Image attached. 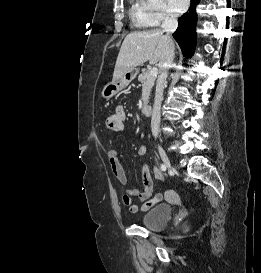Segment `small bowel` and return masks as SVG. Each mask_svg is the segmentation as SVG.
<instances>
[{
    "label": "small bowel",
    "mask_w": 261,
    "mask_h": 273,
    "mask_svg": "<svg viewBox=\"0 0 261 273\" xmlns=\"http://www.w3.org/2000/svg\"><path fill=\"white\" fill-rule=\"evenodd\" d=\"M113 115L119 116L121 118L122 127L119 131H123L124 129V122L126 121L127 114L126 110L123 106H117L115 109V113ZM147 152V147L145 144H141L138 148V155L141 158H144ZM108 162L111 167V171L115 177V179L121 184L125 185L127 182L125 171L122 167L118 159V150L116 148H111L107 152ZM142 181H143V188L139 191L136 188H128L122 196L123 203L129 208L131 213H138L140 211H148L154 205L159 203L162 200V194L158 193L154 196L153 194V181L150 173V169L146 163L143 164L142 170ZM155 178H161V173L159 171H155L154 173ZM134 197H138L141 201V206L136 204L133 200Z\"/></svg>",
    "instance_id": "small-bowel-1"
}]
</instances>
